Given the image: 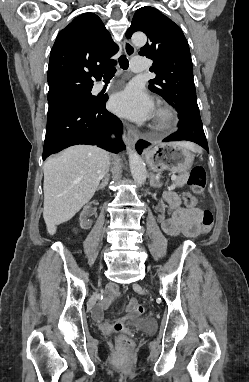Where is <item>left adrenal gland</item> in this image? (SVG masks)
Segmentation results:
<instances>
[{"mask_svg":"<svg viewBox=\"0 0 249 382\" xmlns=\"http://www.w3.org/2000/svg\"><path fill=\"white\" fill-rule=\"evenodd\" d=\"M150 186L153 188H160L162 186L161 183L156 182L154 174H151Z\"/></svg>","mask_w":249,"mask_h":382,"instance_id":"obj_1","label":"left adrenal gland"}]
</instances>
